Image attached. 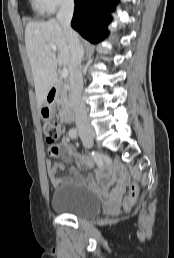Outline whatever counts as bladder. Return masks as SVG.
I'll return each mask as SVG.
<instances>
[{"mask_svg": "<svg viewBox=\"0 0 174 258\" xmlns=\"http://www.w3.org/2000/svg\"><path fill=\"white\" fill-rule=\"evenodd\" d=\"M51 208L62 214L83 218L98 215L102 210V203L90 188L65 179L55 187Z\"/></svg>", "mask_w": 174, "mask_h": 258, "instance_id": "31cf9c89", "label": "bladder"}]
</instances>
